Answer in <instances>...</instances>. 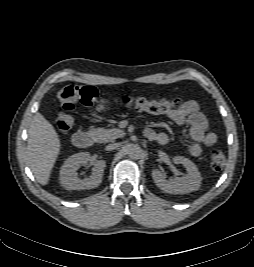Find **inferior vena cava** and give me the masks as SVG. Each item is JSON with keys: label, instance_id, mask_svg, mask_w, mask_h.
I'll return each mask as SVG.
<instances>
[{"label": "inferior vena cava", "instance_id": "obj_1", "mask_svg": "<svg viewBox=\"0 0 254 267\" xmlns=\"http://www.w3.org/2000/svg\"><path fill=\"white\" fill-rule=\"evenodd\" d=\"M117 147H118V145H117L116 143H114V144H109V145L106 146V150H107V151H111V150L116 149Z\"/></svg>", "mask_w": 254, "mask_h": 267}]
</instances>
